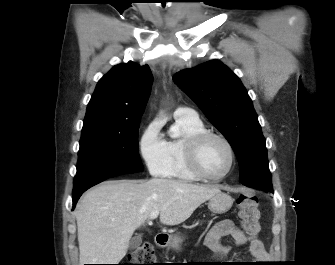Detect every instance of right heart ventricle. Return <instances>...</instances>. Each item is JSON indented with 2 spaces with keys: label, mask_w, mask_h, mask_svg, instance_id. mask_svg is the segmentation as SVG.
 Listing matches in <instances>:
<instances>
[{
  "label": "right heart ventricle",
  "mask_w": 335,
  "mask_h": 265,
  "mask_svg": "<svg viewBox=\"0 0 335 265\" xmlns=\"http://www.w3.org/2000/svg\"><path fill=\"white\" fill-rule=\"evenodd\" d=\"M175 125L182 131V136L167 141L168 166L163 176L184 182L198 181L187 165L185 146L191 136L206 131L205 125L200 119L186 118H175Z\"/></svg>",
  "instance_id": "right-heart-ventricle-1"
}]
</instances>
